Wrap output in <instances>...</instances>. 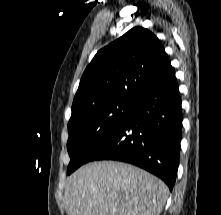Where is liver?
<instances>
[{"mask_svg":"<svg viewBox=\"0 0 221 215\" xmlns=\"http://www.w3.org/2000/svg\"><path fill=\"white\" fill-rule=\"evenodd\" d=\"M166 184L130 164L93 162L79 168L65 186L68 215H159Z\"/></svg>","mask_w":221,"mask_h":215,"instance_id":"1","label":"liver"}]
</instances>
